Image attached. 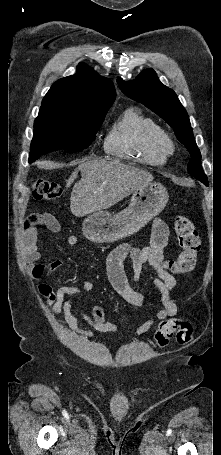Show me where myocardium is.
I'll return each mask as SVG.
<instances>
[{
    "mask_svg": "<svg viewBox=\"0 0 221 455\" xmlns=\"http://www.w3.org/2000/svg\"><path fill=\"white\" fill-rule=\"evenodd\" d=\"M161 144L164 150L169 153L173 150V142L169 139V137L163 133L161 137Z\"/></svg>",
    "mask_w": 221,
    "mask_h": 455,
    "instance_id": "f54148a6",
    "label": "myocardium"
}]
</instances>
